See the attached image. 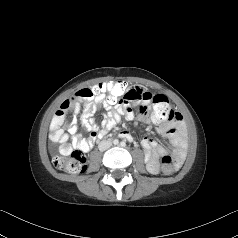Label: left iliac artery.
Wrapping results in <instances>:
<instances>
[{"mask_svg": "<svg viewBox=\"0 0 238 238\" xmlns=\"http://www.w3.org/2000/svg\"><path fill=\"white\" fill-rule=\"evenodd\" d=\"M120 145H121L122 147H125V146H126V143H125V142H121Z\"/></svg>", "mask_w": 238, "mask_h": 238, "instance_id": "obj_1", "label": "left iliac artery"}]
</instances>
